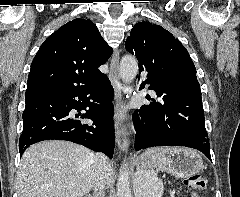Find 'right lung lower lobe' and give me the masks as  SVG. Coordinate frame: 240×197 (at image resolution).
Segmentation results:
<instances>
[{"label": "right lung lower lobe", "mask_w": 240, "mask_h": 197, "mask_svg": "<svg viewBox=\"0 0 240 197\" xmlns=\"http://www.w3.org/2000/svg\"><path fill=\"white\" fill-rule=\"evenodd\" d=\"M113 93L106 76L81 88L59 87L26 96L20 157L34 143L59 139L101 151L112 158L115 145ZM73 109L85 110L80 117L93 120V125L81 123L76 119L79 115L70 113Z\"/></svg>", "instance_id": "98d812e1"}]
</instances>
